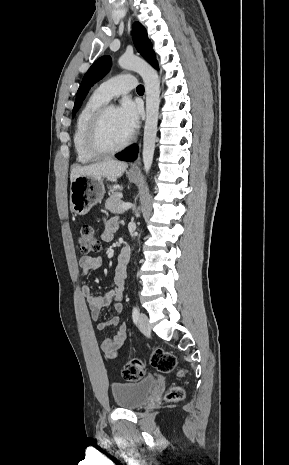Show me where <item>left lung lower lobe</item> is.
Returning <instances> with one entry per match:
<instances>
[{"label":"left lung lower lobe","mask_w":289,"mask_h":465,"mask_svg":"<svg viewBox=\"0 0 289 465\" xmlns=\"http://www.w3.org/2000/svg\"><path fill=\"white\" fill-rule=\"evenodd\" d=\"M138 153V146L135 145L130 149L124 150L118 154H116V158L124 161H133Z\"/></svg>","instance_id":"obj_1"}]
</instances>
